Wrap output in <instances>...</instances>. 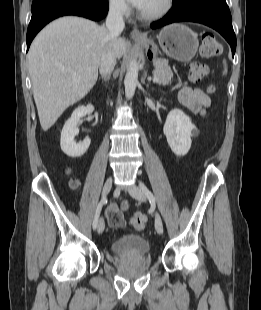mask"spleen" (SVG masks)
<instances>
[{
	"mask_svg": "<svg viewBox=\"0 0 261 310\" xmlns=\"http://www.w3.org/2000/svg\"><path fill=\"white\" fill-rule=\"evenodd\" d=\"M223 63H224L223 75H226V74H227V65H226V61H224Z\"/></svg>",
	"mask_w": 261,
	"mask_h": 310,
	"instance_id": "3e777b00",
	"label": "spleen"
}]
</instances>
